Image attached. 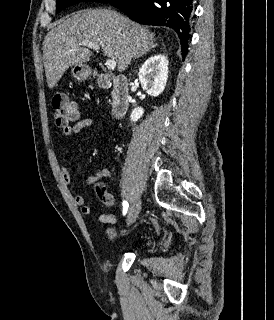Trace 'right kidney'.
Listing matches in <instances>:
<instances>
[{
	"mask_svg": "<svg viewBox=\"0 0 274 320\" xmlns=\"http://www.w3.org/2000/svg\"><path fill=\"white\" fill-rule=\"evenodd\" d=\"M139 82L149 96H160L167 84L168 60L164 54H154L148 58L138 72ZM144 114V108H134L129 118L131 122H138Z\"/></svg>",
	"mask_w": 274,
	"mask_h": 320,
	"instance_id": "obj_1",
	"label": "right kidney"
}]
</instances>
